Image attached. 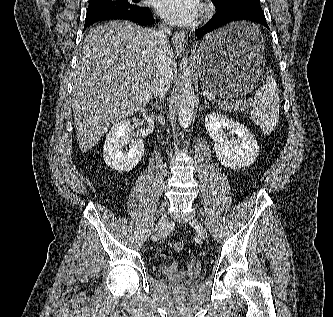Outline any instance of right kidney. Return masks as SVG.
<instances>
[{
  "label": "right kidney",
  "instance_id": "ca27d5eb",
  "mask_svg": "<svg viewBox=\"0 0 333 317\" xmlns=\"http://www.w3.org/2000/svg\"><path fill=\"white\" fill-rule=\"evenodd\" d=\"M133 123L142 125L139 119H124L115 125L108 133L104 146L103 157L106 165L119 172L132 170L141 160L144 154L143 140H132L129 151H123L125 146V136L130 133Z\"/></svg>",
  "mask_w": 333,
  "mask_h": 317
}]
</instances>
